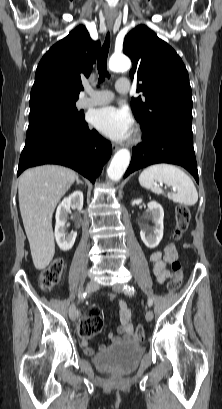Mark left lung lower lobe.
I'll list each match as a JSON object with an SVG mask.
<instances>
[{"mask_svg": "<svg viewBox=\"0 0 222 409\" xmlns=\"http://www.w3.org/2000/svg\"><path fill=\"white\" fill-rule=\"evenodd\" d=\"M155 163L183 166L199 182L191 124L167 119L143 128V142L133 148L131 163L124 177Z\"/></svg>", "mask_w": 222, "mask_h": 409, "instance_id": "0a47b994", "label": "left lung lower lobe"}]
</instances>
